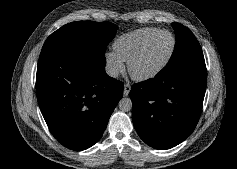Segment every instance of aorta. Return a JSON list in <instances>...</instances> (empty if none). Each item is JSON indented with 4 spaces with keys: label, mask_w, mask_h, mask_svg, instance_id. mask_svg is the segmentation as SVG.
Wrapping results in <instances>:
<instances>
[{
    "label": "aorta",
    "mask_w": 237,
    "mask_h": 169,
    "mask_svg": "<svg viewBox=\"0 0 237 169\" xmlns=\"http://www.w3.org/2000/svg\"><path fill=\"white\" fill-rule=\"evenodd\" d=\"M118 107L121 111L123 112H128L132 109L133 107V103L132 100L128 97H124L122 98L119 103H118Z\"/></svg>",
    "instance_id": "762f6f07"
}]
</instances>
